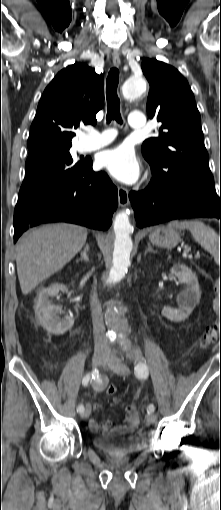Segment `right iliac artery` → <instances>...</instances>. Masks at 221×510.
<instances>
[{
	"label": "right iliac artery",
	"instance_id": "82829eb1",
	"mask_svg": "<svg viewBox=\"0 0 221 510\" xmlns=\"http://www.w3.org/2000/svg\"><path fill=\"white\" fill-rule=\"evenodd\" d=\"M99 375V371L97 369L93 370L92 373H88L84 376L83 380H82V384L84 386H87L88 383L92 380V379H95L96 377H98ZM84 411V406L83 405H79L78 408H77V412L79 413H82Z\"/></svg>",
	"mask_w": 221,
	"mask_h": 510
}]
</instances>
